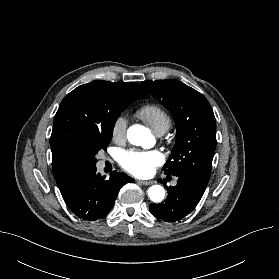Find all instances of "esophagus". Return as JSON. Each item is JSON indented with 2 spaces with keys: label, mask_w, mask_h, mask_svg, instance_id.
<instances>
[{
  "label": "esophagus",
  "mask_w": 279,
  "mask_h": 279,
  "mask_svg": "<svg viewBox=\"0 0 279 279\" xmlns=\"http://www.w3.org/2000/svg\"><path fill=\"white\" fill-rule=\"evenodd\" d=\"M139 183L143 184V185H151L153 184L154 182L153 181H139Z\"/></svg>",
  "instance_id": "1"
}]
</instances>
